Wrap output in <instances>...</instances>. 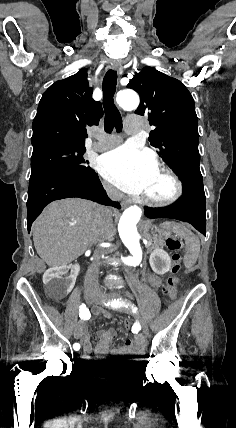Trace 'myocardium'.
Listing matches in <instances>:
<instances>
[{
    "mask_svg": "<svg viewBox=\"0 0 236 428\" xmlns=\"http://www.w3.org/2000/svg\"><path fill=\"white\" fill-rule=\"evenodd\" d=\"M155 170H162L173 184V192L164 199H157L147 195L141 196V201L149 206L157 208H166L177 203L183 196L185 186L183 180L175 172V170L165 162H159L155 166Z\"/></svg>",
    "mask_w": 236,
    "mask_h": 428,
    "instance_id": "obj_1",
    "label": "myocardium"
}]
</instances>
